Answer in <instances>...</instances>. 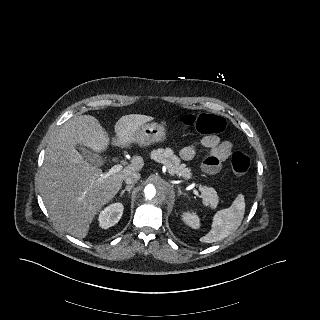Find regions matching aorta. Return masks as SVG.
Here are the masks:
<instances>
[{"instance_id":"762f6f07","label":"aorta","mask_w":320,"mask_h":320,"mask_svg":"<svg viewBox=\"0 0 320 320\" xmlns=\"http://www.w3.org/2000/svg\"><path fill=\"white\" fill-rule=\"evenodd\" d=\"M172 196L170 186L159 177H154L148 182L142 192V200L152 208H161Z\"/></svg>"}]
</instances>
